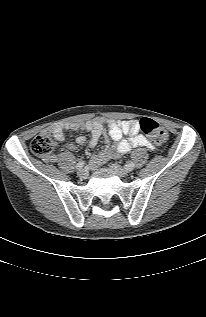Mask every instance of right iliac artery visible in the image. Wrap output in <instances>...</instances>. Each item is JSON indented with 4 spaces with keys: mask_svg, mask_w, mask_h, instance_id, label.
<instances>
[{
    "mask_svg": "<svg viewBox=\"0 0 206 317\" xmlns=\"http://www.w3.org/2000/svg\"><path fill=\"white\" fill-rule=\"evenodd\" d=\"M84 165H85V161H79L76 164V169H81L82 167H84Z\"/></svg>",
    "mask_w": 206,
    "mask_h": 317,
    "instance_id": "82829eb1",
    "label": "right iliac artery"
}]
</instances>
